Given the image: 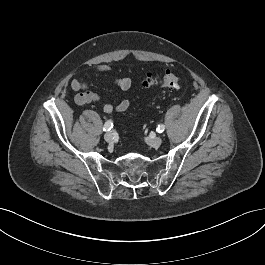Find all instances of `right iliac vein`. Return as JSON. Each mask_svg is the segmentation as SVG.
<instances>
[{
  "instance_id": "obj_1",
  "label": "right iliac vein",
  "mask_w": 265,
  "mask_h": 265,
  "mask_svg": "<svg viewBox=\"0 0 265 265\" xmlns=\"http://www.w3.org/2000/svg\"><path fill=\"white\" fill-rule=\"evenodd\" d=\"M104 139L106 142L111 143L114 140V136L111 132L105 134Z\"/></svg>"
}]
</instances>
